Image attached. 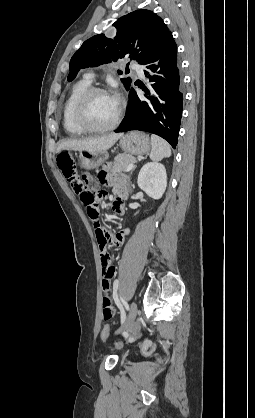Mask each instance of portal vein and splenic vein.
Here are the masks:
<instances>
[{"mask_svg": "<svg viewBox=\"0 0 255 418\" xmlns=\"http://www.w3.org/2000/svg\"><path fill=\"white\" fill-rule=\"evenodd\" d=\"M134 167V163L130 164L127 168H126V172L130 171L132 168Z\"/></svg>", "mask_w": 255, "mask_h": 418, "instance_id": "portal-vein-and-splenic-vein-1", "label": "portal vein and splenic vein"}]
</instances>
